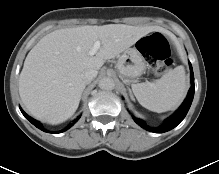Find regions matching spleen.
<instances>
[{
  "label": "spleen",
  "instance_id": "spleen-1",
  "mask_svg": "<svg viewBox=\"0 0 219 174\" xmlns=\"http://www.w3.org/2000/svg\"><path fill=\"white\" fill-rule=\"evenodd\" d=\"M138 102L148 110L162 113L174 109L186 90L185 70L178 66L154 82L132 84Z\"/></svg>",
  "mask_w": 219,
  "mask_h": 174
}]
</instances>
